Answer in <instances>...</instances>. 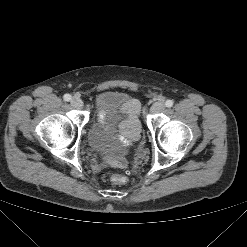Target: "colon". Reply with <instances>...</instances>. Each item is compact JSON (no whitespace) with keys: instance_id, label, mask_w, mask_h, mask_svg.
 Returning <instances> with one entry per match:
<instances>
[{"instance_id":"1","label":"colon","mask_w":247,"mask_h":247,"mask_svg":"<svg viewBox=\"0 0 247 247\" xmlns=\"http://www.w3.org/2000/svg\"><path fill=\"white\" fill-rule=\"evenodd\" d=\"M111 180L116 185H123L128 181V178L124 175H114Z\"/></svg>"}]
</instances>
